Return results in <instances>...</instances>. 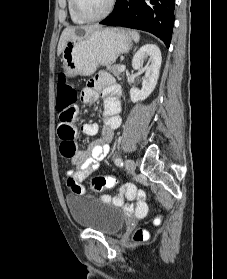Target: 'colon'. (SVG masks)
<instances>
[{
	"mask_svg": "<svg viewBox=\"0 0 227 279\" xmlns=\"http://www.w3.org/2000/svg\"><path fill=\"white\" fill-rule=\"evenodd\" d=\"M59 98L57 100L56 108L59 112V118L61 120L60 127V153L64 159H70L75 153V145L73 143V137L75 135V127L70 125V122L74 118V106L77 100V93L75 86L68 83H60L58 86ZM68 184L73 188L75 194H83L76 179L70 178ZM117 184V179L113 175H99L95 176L91 181V188L94 192L100 193L107 188L114 187ZM135 194H140L136 191ZM106 202H109V198H104ZM115 205H120L122 200L114 199ZM146 237V232L139 230L136 233L137 239H143Z\"/></svg>",
	"mask_w": 227,
	"mask_h": 279,
	"instance_id": "obj_1",
	"label": "colon"
}]
</instances>
